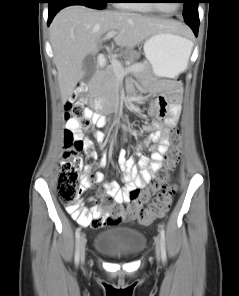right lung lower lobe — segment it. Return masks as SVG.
<instances>
[{"instance_id":"1","label":"right lung lower lobe","mask_w":239,"mask_h":296,"mask_svg":"<svg viewBox=\"0 0 239 296\" xmlns=\"http://www.w3.org/2000/svg\"><path fill=\"white\" fill-rule=\"evenodd\" d=\"M66 6H69V3L66 2V0H52L49 3L48 25L50 24L56 13Z\"/></svg>"}]
</instances>
